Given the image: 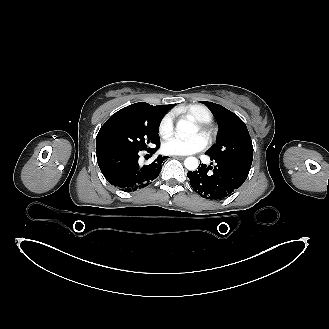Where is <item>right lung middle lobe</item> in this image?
Returning a JSON list of instances; mask_svg holds the SVG:
<instances>
[{"label": "right lung middle lobe", "instance_id": "right-lung-middle-lobe-1", "mask_svg": "<svg viewBox=\"0 0 329 329\" xmlns=\"http://www.w3.org/2000/svg\"><path fill=\"white\" fill-rule=\"evenodd\" d=\"M167 111L153 107L142 118L122 120L101 127L96 147L146 150L159 144V125Z\"/></svg>", "mask_w": 329, "mask_h": 329}]
</instances>
